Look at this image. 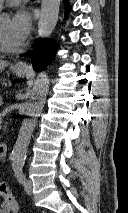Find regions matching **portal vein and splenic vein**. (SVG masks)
Masks as SVG:
<instances>
[{
    "mask_svg": "<svg viewBox=\"0 0 128 213\" xmlns=\"http://www.w3.org/2000/svg\"><path fill=\"white\" fill-rule=\"evenodd\" d=\"M3 105V101L2 100H0V106H2Z\"/></svg>",
    "mask_w": 128,
    "mask_h": 213,
    "instance_id": "portal-vein-and-splenic-vein-1",
    "label": "portal vein and splenic vein"
}]
</instances>
